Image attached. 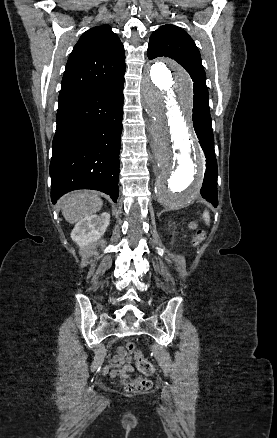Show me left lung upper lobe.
I'll return each instance as SVG.
<instances>
[{
    "mask_svg": "<svg viewBox=\"0 0 277 438\" xmlns=\"http://www.w3.org/2000/svg\"><path fill=\"white\" fill-rule=\"evenodd\" d=\"M148 58L165 56L177 61L190 74L194 82L193 109L209 113L206 74L201 64L200 53L192 38L175 25H163L150 37Z\"/></svg>",
    "mask_w": 277,
    "mask_h": 438,
    "instance_id": "1",
    "label": "left lung upper lobe"
}]
</instances>
